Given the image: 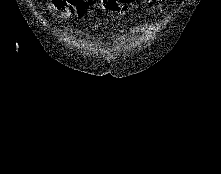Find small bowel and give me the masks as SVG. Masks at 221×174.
I'll use <instances>...</instances> for the list:
<instances>
[{"label":"small bowel","mask_w":221,"mask_h":174,"mask_svg":"<svg viewBox=\"0 0 221 174\" xmlns=\"http://www.w3.org/2000/svg\"><path fill=\"white\" fill-rule=\"evenodd\" d=\"M149 3L155 0H147ZM95 2H99L101 8L108 11L126 15L130 12V4L133 0H46L45 7L56 17L66 20L73 16L81 19Z\"/></svg>","instance_id":"small-bowel-1"}]
</instances>
